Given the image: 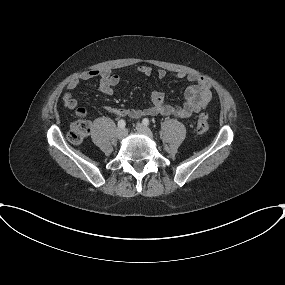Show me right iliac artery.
<instances>
[{
	"label": "right iliac artery",
	"instance_id": "82829eb1",
	"mask_svg": "<svg viewBox=\"0 0 285 285\" xmlns=\"http://www.w3.org/2000/svg\"><path fill=\"white\" fill-rule=\"evenodd\" d=\"M125 126H126V123H125V121L123 119L118 121V127L119 128L123 129V128H125Z\"/></svg>",
	"mask_w": 285,
	"mask_h": 285
}]
</instances>
